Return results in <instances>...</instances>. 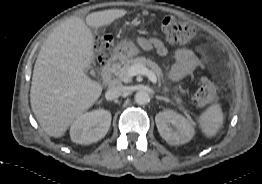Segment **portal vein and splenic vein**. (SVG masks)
<instances>
[{"label": "portal vein and splenic vein", "mask_w": 262, "mask_h": 184, "mask_svg": "<svg viewBox=\"0 0 262 184\" xmlns=\"http://www.w3.org/2000/svg\"><path fill=\"white\" fill-rule=\"evenodd\" d=\"M136 75H145V76H147L150 79V81L152 83H156L157 82V78H156L155 74L151 70L146 68L145 66L134 65V66H131L128 69V71H127V76L128 77H133V76H136Z\"/></svg>", "instance_id": "obj_1"}]
</instances>
